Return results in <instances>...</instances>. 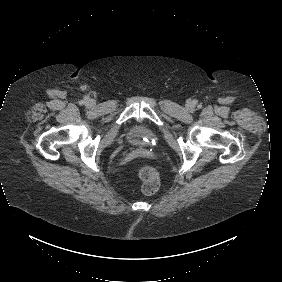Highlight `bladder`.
<instances>
[{
	"instance_id": "obj_1",
	"label": "bladder",
	"mask_w": 282,
	"mask_h": 282,
	"mask_svg": "<svg viewBox=\"0 0 282 282\" xmlns=\"http://www.w3.org/2000/svg\"><path fill=\"white\" fill-rule=\"evenodd\" d=\"M127 141L132 146L150 148L157 142V135L150 127L137 124L130 128L127 133Z\"/></svg>"
}]
</instances>
